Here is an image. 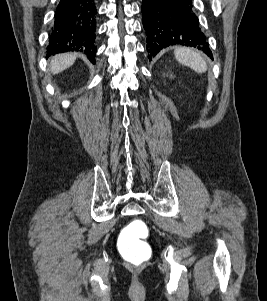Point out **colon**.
Wrapping results in <instances>:
<instances>
[{
  "label": "colon",
  "mask_w": 267,
  "mask_h": 301,
  "mask_svg": "<svg viewBox=\"0 0 267 301\" xmlns=\"http://www.w3.org/2000/svg\"><path fill=\"white\" fill-rule=\"evenodd\" d=\"M148 227L141 219L132 220L122 231L119 238V251L123 258L140 266L151 257V248L146 242Z\"/></svg>",
  "instance_id": "1"
}]
</instances>
